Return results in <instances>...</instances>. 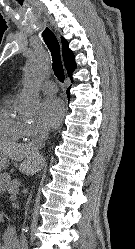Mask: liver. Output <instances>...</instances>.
<instances>
[{
  "label": "liver",
  "instance_id": "1",
  "mask_svg": "<svg viewBox=\"0 0 135 249\" xmlns=\"http://www.w3.org/2000/svg\"><path fill=\"white\" fill-rule=\"evenodd\" d=\"M0 156L21 162L19 170L26 175L37 173L44 164L43 157L34 154L30 144L0 142Z\"/></svg>",
  "mask_w": 135,
  "mask_h": 249
}]
</instances>
